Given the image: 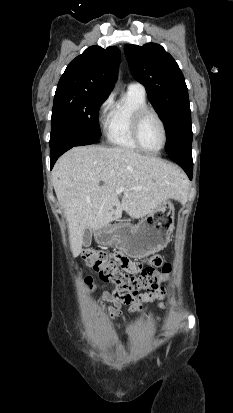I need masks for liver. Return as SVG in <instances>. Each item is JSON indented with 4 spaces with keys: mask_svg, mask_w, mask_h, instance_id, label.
<instances>
[{
    "mask_svg": "<svg viewBox=\"0 0 233 413\" xmlns=\"http://www.w3.org/2000/svg\"><path fill=\"white\" fill-rule=\"evenodd\" d=\"M54 190L64 210L70 248L81 253L86 229L97 231L122 211L142 218L169 199H181L186 181L181 170L163 160L128 148L75 147L52 171ZM124 186L122 200L116 190Z\"/></svg>",
    "mask_w": 233,
    "mask_h": 413,
    "instance_id": "1",
    "label": "liver"
}]
</instances>
